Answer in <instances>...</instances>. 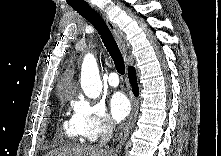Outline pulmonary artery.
Segmentation results:
<instances>
[{"label": "pulmonary artery", "mask_w": 221, "mask_h": 156, "mask_svg": "<svg viewBox=\"0 0 221 156\" xmlns=\"http://www.w3.org/2000/svg\"><path fill=\"white\" fill-rule=\"evenodd\" d=\"M108 84L112 87H116L118 86L119 84V78H118V75L117 73L115 72H111L109 75H108Z\"/></svg>", "instance_id": "1"}]
</instances>
